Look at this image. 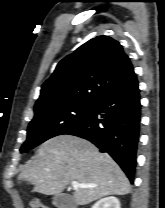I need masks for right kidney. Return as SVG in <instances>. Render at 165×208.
<instances>
[{"label":"right kidney","instance_id":"1","mask_svg":"<svg viewBox=\"0 0 165 208\" xmlns=\"http://www.w3.org/2000/svg\"><path fill=\"white\" fill-rule=\"evenodd\" d=\"M92 208H120V202L116 197L110 196L99 200Z\"/></svg>","mask_w":165,"mask_h":208}]
</instances>
